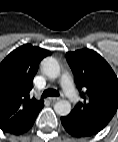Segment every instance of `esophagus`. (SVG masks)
Here are the masks:
<instances>
[{
    "label": "esophagus",
    "mask_w": 118,
    "mask_h": 142,
    "mask_svg": "<svg viewBox=\"0 0 118 142\" xmlns=\"http://www.w3.org/2000/svg\"><path fill=\"white\" fill-rule=\"evenodd\" d=\"M49 100H50L51 102H57V101L60 100V98H58V97H53V98H50Z\"/></svg>",
    "instance_id": "obj_1"
}]
</instances>
